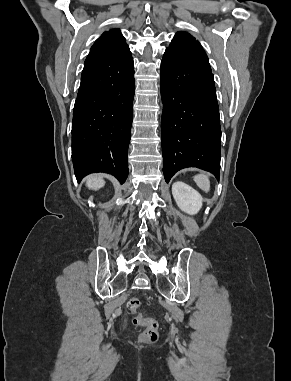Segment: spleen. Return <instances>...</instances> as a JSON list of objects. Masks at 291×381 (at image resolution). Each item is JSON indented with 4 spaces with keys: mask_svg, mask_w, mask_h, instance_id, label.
Returning a JSON list of instances; mask_svg holds the SVG:
<instances>
[{
    "mask_svg": "<svg viewBox=\"0 0 291 381\" xmlns=\"http://www.w3.org/2000/svg\"><path fill=\"white\" fill-rule=\"evenodd\" d=\"M194 181L197 186L205 192L210 190V180L205 174H198L194 176Z\"/></svg>",
    "mask_w": 291,
    "mask_h": 381,
    "instance_id": "3e777b00",
    "label": "spleen"
}]
</instances>
